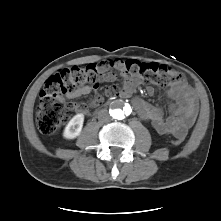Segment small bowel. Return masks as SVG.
I'll list each match as a JSON object with an SVG mask.
<instances>
[{
	"label": "small bowel",
	"mask_w": 221,
	"mask_h": 221,
	"mask_svg": "<svg viewBox=\"0 0 221 221\" xmlns=\"http://www.w3.org/2000/svg\"><path fill=\"white\" fill-rule=\"evenodd\" d=\"M111 68H115L121 73L122 85L118 92L123 97H130L133 94L138 81L126 70L125 61L121 59H111L106 63H101L99 65V79L97 83L78 87L69 93L66 98L74 99L87 95L93 90H96L100 83L115 81L116 76L110 71ZM147 92L152 95L154 89L148 87ZM166 96L170 101V115L167 118L164 117L163 110L160 107L151 105L140 97H135L133 99V106L138 113V116L142 120L150 122L158 133L183 138L196 119L198 107L196 96L192 88L182 80L173 83L166 91ZM99 102L100 98L96 99L93 105H96ZM67 107L83 115H86L89 112L88 106L84 104L69 102L67 103Z\"/></svg>",
	"instance_id": "obj_1"
}]
</instances>
